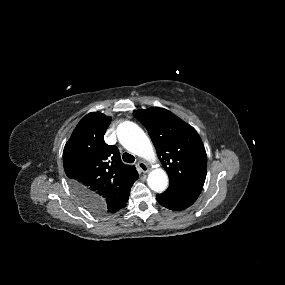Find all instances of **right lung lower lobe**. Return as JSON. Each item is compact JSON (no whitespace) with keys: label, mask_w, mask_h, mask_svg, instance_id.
I'll list each match as a JSON object with an SVG mask.
<instances>
[{"label":"right lung lower lobe","mask_w":285,"mask_h":285,"mask_svg":"<svg viewBox=\"0 0 285 285\" xmlns=\"http://www.w3.org/2000/svg\"><path fill=\"white\" fill-rule=\"evenodd\" d=\"M130 194V193H129ZM128 197H129V195H128ZM128 197L126 198V200H125V202L123 203V205L116 211V212H118V211H120L121 209H123L125 206H126V203H127V201H128ZM115 212V213H116Z\"/></svg>","instance_id":"obj_1"}]
</instances>
